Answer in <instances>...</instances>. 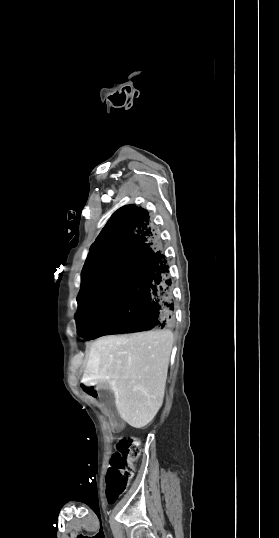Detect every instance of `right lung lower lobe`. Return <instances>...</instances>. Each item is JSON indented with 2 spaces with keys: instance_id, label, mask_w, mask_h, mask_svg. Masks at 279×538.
Wrapping results in <instances>:
<instances>
[{
  "instance_id": "1",
  "label": "right lung lower lobe",
  "mask_w": 279,
  "mask_h": 538,
  "mask_svg": "<svg viewBox=\"0 0 279 538\" xmlns=\"http://www.w3.org/2000/svg\"><path fill=\"white\" fill-rule=\"evenodd\" d=\"M169 266L149 212L117 210L91 246L82 270L78 334L97 337L174 326Z\"/></svg>"
}]
</instances>
